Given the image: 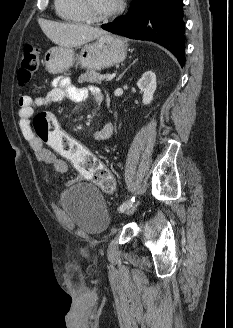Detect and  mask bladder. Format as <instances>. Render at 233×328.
<instances>
[{
	"label": "bladder",
	"instance_id": "1",
	"mask_svg": "<svg viewBox=\"0 0 233 328\" xmlns=\"http://www.w3.org/2000/svg\"><path fill=\"white\" fill-rule=\"evenodd\" d=\"M59 203L69 219L87 234L101 233L110 224L103 195L88 183L75 184L62 192Z\"/></svg>",
	"mask_w": 233,
	"mask_h": 328
}]
</instances>
